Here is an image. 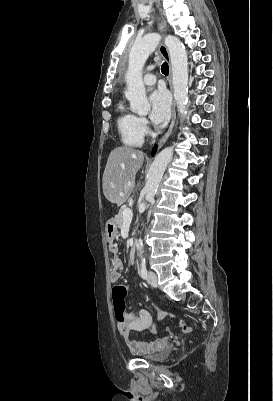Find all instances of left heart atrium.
Listing matches in <instances>:
<instances>
[{
  "mask_svg": "<svg viewBox=\"0 0 273 401\" xmlns=\"http://www.w3.org/2000/svg\"><path fill=\"white\" fill-rule=\"evenodd\" d=\"M149 117L156 125L165 124L170 115V100L163 92H154L149 97Z\"/></svg>",
  "mask_w": 273,
  "mask_h": 401,
  "instance_id": "39dd6f15",
  "label": "left heart atrium"
}]
</instances>
